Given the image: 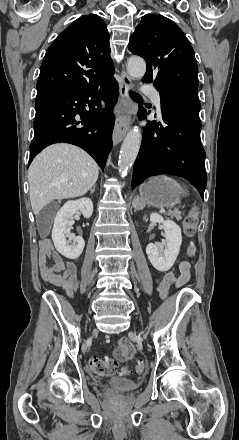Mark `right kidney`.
<instances>
[{"label":"right kidney","instance_id":"obj_1","mask_svg":"<svg viewBox=\"0 0 239 440\" xmlns=\"http://www.w3.org/2000/svg\"><path fill=\"white\" fill-rule=\"evenodd\" d=\"M80 210L84 218H91L93 214V204L90 198H80V200H69L60 208L56 214L53 224L52 240L61 257H72V260L79 258L85 246L81 236L70 234V228L74 224L73 216ZM66 238H71V241Z\"/></svg>","mask_w":239,"mask_h":440}]
</instances>
